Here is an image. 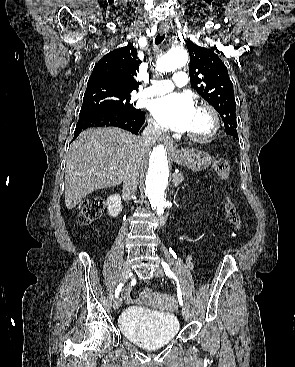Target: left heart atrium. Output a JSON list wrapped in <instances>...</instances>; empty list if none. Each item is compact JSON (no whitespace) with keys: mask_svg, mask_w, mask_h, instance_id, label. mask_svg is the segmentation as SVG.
I'll return each mask as SVG.
<instances>
[{"mask_svg":"<svg viewBox=\"0 0 295 367\" xmlns=\"http://www.w3.org/2000/svg\"><path fill=\"white\" fill-rule=\"evenodd\" d=\"M150 111L163 126L176 131H187L196 108L188 94L172 93L153 100Z\"/></svg>","mask_w":295,"mask_h":367,"instance_id":"39dd6f15","label":"left heart atrium"}]
</instances>
